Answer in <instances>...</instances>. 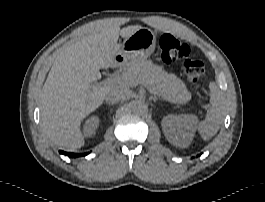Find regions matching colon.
<instances>
[{
	"mask_svg": "<svg viewBox=\"0 0 265 202\" xmlns=\"http://www.w3.org/2000/svg\"><path fill=\"white\" fill-rule=\"evenodd\" d=\"M159 45L162 50V60L165 62H179L180 68L191 84L197 83L205 74V62L200 57L190 58L188 45L169 33L161 35Z\"/></svg>",
	"mask_w": 265,
	"mask_h": 202,
	"instance_id": "obj_1",
	"label": "colon"
}]
</instances>
